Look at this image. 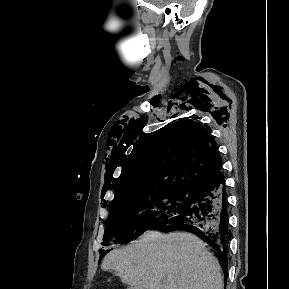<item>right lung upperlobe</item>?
Listing matches in <instances>:
<instances>
[{
    "label": "right lung upper lobe",
    "instance_id": "right-lung-upper-lobe-1",
    "mask_svg": "<svg viewBox=\"0 0 289 289\" xmlns=\"http://www.w3.org/2000/svg\"><path fill=\"white\" fill-rule=\"evenodd\" d=\"M221 173L222 161L210 128L183 118L135 145L111 205L158 191H192Z\"/></svg>",
    "mask_w": 289,
    "mask_h": 289
}]
</instances>
